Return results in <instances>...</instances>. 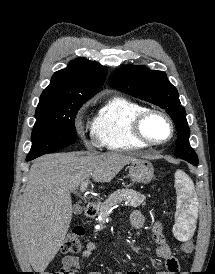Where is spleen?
<instances>
[{
	"instance_id": "spleen-1",
	"label": "spleen",
	"mask_w": 215,
	"mask_h": 274,
	"mask_svg": "<svg viewBox=\"0 0 215 274\" xmlns=\"http://www.w3.org/2000/svg\"><path fill=\"white\" fill-rule=\"evenodd\" d=\"M177 193L176 225L174 235L181 241H187L193 231L197 214L198 200L190 177L182 170L175 173Z\"/></svg>"
}]
</instances>
